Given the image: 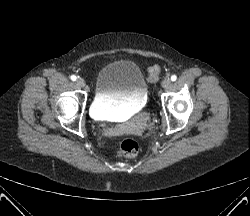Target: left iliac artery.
Wrapping results in <instances>:
<instances>
[{
  "label": "left iliac artery",
  "mask_w": 250,
  "mask_h": 216,
  "mask_svg": "<svg viewBox=\"0 0 250 216\" xmlns=\"http://www.w3.org/2000/svg\"><path fill=\"white\" fill-rule=\"evenodd\" d=\"M176 79H177V76H176V75H172V76H171V80H172V81H176Z\"/></svg>",
  "instance_id": "44dca946"
}]
</instances>
